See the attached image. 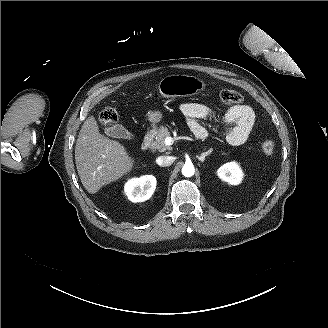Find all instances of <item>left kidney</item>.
I'll return each instance as SVG.
<instances>
[{"instance_id":"5707ae66","label":"left kidney","mask_w":328,"mask_h":328,"mask_svg":"<svg viewBox=\"0 0 328 328\" xmlns=\"http://www.w3.org/2000/svg\"><path fill=\"white\" fill-rule=\"evenodd\" d=\"M219 177L232 185H237L242 180V172L236 163L224 164L218 170Z\"/></svg>"}]
</instances>
